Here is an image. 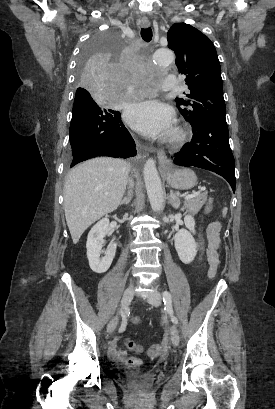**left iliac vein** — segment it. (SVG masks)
Wrapping results in <instances>:
<instances>
[{
    "label": "left iliac vein",
    "instance_id": "left-iliac-vein-1",
    "mask_svg": "<svg viewBox=\"0 0 275 409\" xmlns=\"http://www.w3.org/2000/svg\"><path fill=\"white\" fill-rule=\"evenodd\" d=\"M147 301L152 304L155 307L160 306L162 302V296L156 292V291H151L147 294L146 296ZM170 338L173 346H178L179 344V331L176 325H171L170 326Z\"/></svg>",
    "mask_w": 275,
    "mask_h": 409
}]
</instances>
